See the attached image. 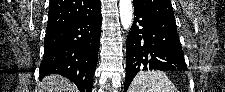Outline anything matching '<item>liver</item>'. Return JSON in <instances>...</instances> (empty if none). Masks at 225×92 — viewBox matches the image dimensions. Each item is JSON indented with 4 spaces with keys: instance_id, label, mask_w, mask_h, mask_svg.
Segmentation results:
<instances>
[{
    "instance_id": "6515ba94",
    "label": "liver",
    "mask_w": 225,
    "mask_h": 92,
    "mask_svg": "<svg viewBox=\"0 0 225 92\" xmlns=\"http://www.w3.org/2000/svg\"><path fill=\"white\" fill-rule=\"evenodd\" d=\"M39 92H77V87L65 77L48 75L39 84Z\"/></svg>"
}]
</instances>
